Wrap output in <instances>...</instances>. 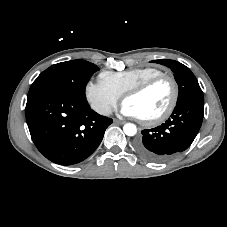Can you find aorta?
Returning <instances> with one entry per match:
<instances>
[{
    "label": "aorta",
    "mask_w": 227,
    "mask_h": 227,
    "mask_svg": "<svg viewBox=\"0 0 227 227\" xmlns=\"http://www.w3.org/2000/svg\"><path fill=\"white\" fill-rule=\"evenodd\" d=\"M123 131L127 136H134L137 133V128L133 123H126L123 126Z\"/></svg>",
    "instance_id": "1"
}]
</instances>
